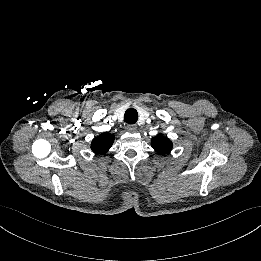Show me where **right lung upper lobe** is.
Wrapping results in <instances>:
<instances>
[{
	"instance_id": "obj_1",
	"label": "right lung upper lobe",
	"mask_w": 261,
	"mask_h": 261,
	"mask_svg": "<svg viewBox=\"0 0 261 261\" xmlns=\"http://www.w3.org/2000/svg\"><path fill=\"white\" fill-rule=\"evenodd\" d=\"M114 142V135L110 133H102L95 137L91 143V149L97 154L106 153Z\"/></svg>"
}]
</instances>
